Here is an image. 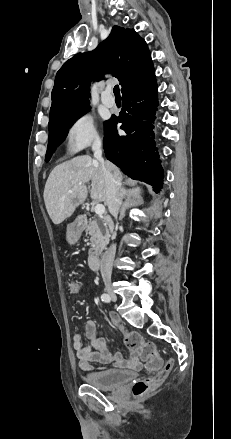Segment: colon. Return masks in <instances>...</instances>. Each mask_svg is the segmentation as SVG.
<instances>
[{"mask_svg": "<svg viewBox=\"0 0 231 439\" xmlns=\"http://www.w3.org/2000/svg\"><path fill=\"white\" fill-rule=\"evenodd\" d=\"M68 291L79 294L80 283L75 279H68ZM125 343L131 350L137 351L142 360L145 361L147 375L137 380L132 386V394L139 397L158 386L168 375L173 367V361L163 363L153 344L145 342L137 333L128 332L125 335Z\"/></svg>", "mask_w": 231, "mask_h": 439, "instance_id": "5ec220e1", "label": "colon"}]
</instances>
